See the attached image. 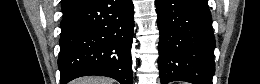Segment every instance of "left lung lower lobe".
<instances>
[{
	"label": "left lung lower lobe",
	"instance_id": "obj_1",
	"mask_svg": "<svg viewBox=\"0 0 260 84\" xmlns=\"http://www.w3.org/2000/svg\"><path fill=\"white\" fill-rule=\"evenodd\" d=\"M161 84H212L215 38L207 0H155Z\"/></svg>",
	"mask_w": 260,
	"mask_h": 84
}]
</instances>
